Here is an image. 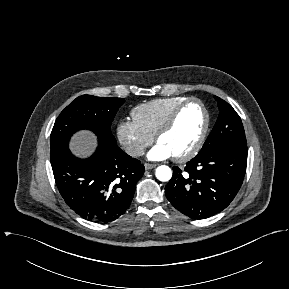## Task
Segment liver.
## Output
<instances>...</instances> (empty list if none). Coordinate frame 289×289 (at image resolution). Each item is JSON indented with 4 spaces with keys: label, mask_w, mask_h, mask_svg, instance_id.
I'll list each match as a JSON object with an SVG mask.
<instances>
[{
    "label": "liver",
    "mask_w": 289,
    "mask_h": 289,
    "mask_svg": "<svg viewBox=\"0 0 289 289\" xmlns=\"http://www.w3.org/2000/svg\"><path fill=\"white\" fill-rule=\"evenodd\" d=\"M96 147V137L87 130H82L73 135L70 150L78 157L89 156Z\"/></svg>",
    "instance_id": "6515ba94"
}]
</instances>
